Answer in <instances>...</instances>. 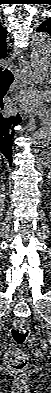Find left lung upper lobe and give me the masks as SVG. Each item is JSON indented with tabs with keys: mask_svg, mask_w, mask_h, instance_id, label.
Listing matches in <instances>:
<instances>
[{
	"mask_svg": "<svg viewBox=\"0 0 51 393\" xmlns=\"http://www.w3.org/2000/svg\"><path fill=\"white\" fill-rule=\"evenodd\" d=\"M37 32H47L51 35V18L43 21L37 28Z\"/></svg>",
	"mask_w": 51,
	"mask_h": 393,
	"instance_id": "5c2ea615",
	"label": "left lung upper lobe"
}]
</instances>
